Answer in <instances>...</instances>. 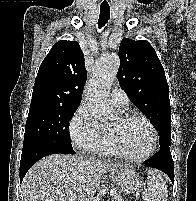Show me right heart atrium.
Returning <instances> with one entry per match:
<instances>
[{
	"label": "right heart atrium",
	"instance_id": "1",
	"mask_svg": "<svg viewBox=\"0 0 196 201\" xmlns=\"http://www.w3.org/2000/svg\"><path fill=\"white\" fill-rule=\"evenodd\" d=\"M69 134L75 148L93 154L99 153L105 147L109 137L84 104L72 115Z\"/></svg>",
	"mask_w": 196,
	"mask_h": 201
}]
</instances>
